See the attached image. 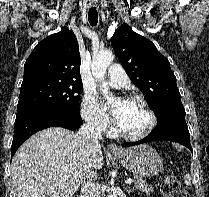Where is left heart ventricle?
<instances>
[{
  "mask_svg": "<svg viewBox=\"0 0 209 197\" xmlns=\"http://www.w3.org/2000/svg\"><path fill=\"white\" fill-rule=\"evenodd\" d=\"M129 104L124 119L118 125L125 132L138 133L148 124V114L140 103L131 101Z\"/></svg>",
  "mask_w": 209,
  "mask_h": 197,
  "instance_id": "b2bd125f",
  "label": "left heart ventricle"
}]
</instances>
